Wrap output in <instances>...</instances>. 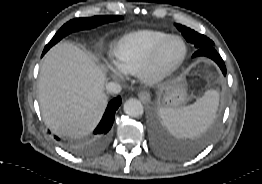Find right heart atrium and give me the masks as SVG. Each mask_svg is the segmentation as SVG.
Returning <instances> with one entry per match:
<instances>
[{"instance_id":"obj_1","label":"right heart atrium","mask_w":262,"mask_h":184,"mask_svg":"<svg viewBox=\"0 0 262 184\" xmlns=\"http://www.w3.org/2000/svg\"><path fill=\"white\" fill-rule=\"evenodd\" d=\"M107 69L116 79H122L124 77V71L115 63L108 64Z\"/></svg>"}]
</instances>
